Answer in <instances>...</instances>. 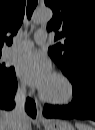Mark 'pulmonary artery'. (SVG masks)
Masks as SVG:
<instances>
[{
    "label": "pulmonary artery",
    "mask_w": 95,
    "mask_h": 130,
    "mask_svg": "<svg viewBox=\"0 0 95 130\" xmlns=\"http://www.w3.org/2000/svg\"><path fill=\"white\" fill-rule=\"evenodd\" d=\"M34 40L37 44H44L48 41V33L45 31H37L34 36ZM33 41L31 40H23L21 42L14 43L12 46H10L6 53L9 56H14L20 53H25L27 51H30L33 48Z\"/></svg>",
    "instance_id": "obj_1"
}]
</instances>
